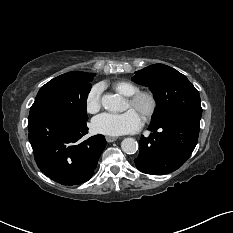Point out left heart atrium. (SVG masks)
Listing matches in <instances>:
<instances>
[{
  "label": "left heart atrium",
  "mask_w": 233,
  "mask_h": 233,
  "mask_svg": "<svg viewBox=\"0 0 233 233\" xmlns=\"http://www.w3.org/2000/svg\"><path fill=\"white\" fill-rule=\"evenodd\" d=\"M141 125L142 119L133 109L120 114L102 113L96 116L91 124L93 131L108 136L133 133L139 130Z\"/></svg>",
  "instance_id": "left-heart-atrium-1"
}]
</instances>
